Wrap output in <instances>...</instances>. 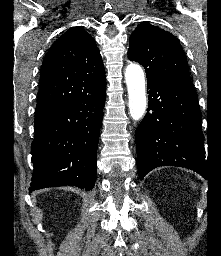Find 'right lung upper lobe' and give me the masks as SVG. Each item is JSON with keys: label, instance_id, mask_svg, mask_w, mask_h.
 <instances>
[{"label": "right lung upper lobe", "instance_id": "cb5924a9", "mask_svg": "<svg viewBox=\"0 0 221 256\" xmlns=\"http://www.w3.org/2000/svg\"><path fill=\"white\" fill-rule=\"evenodd\" d=\"M106 87L103 61L94 38L81 27L59 37L46 54L36 114L50 111Z\"/></svg>", "mask_w": 221, "mask_h": 256}]
</instances>
